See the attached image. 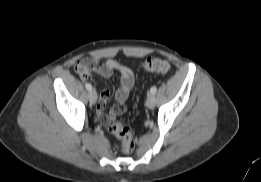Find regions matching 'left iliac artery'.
Returning a JSON list of instances; mask_svg holds the SVG:
<instances>
[{"label":"left iliac artery","mask_w":261,"mask_h":182,"mask_svg":"<svg viewBox=\"0 0 261 182\" xmlns=\"http://www.w3.org/2000/svg\"><path fill=\"white\" fill-rule=\"evenodd\" d=\"M156 91H157L156 86H153V87L150 89L151 94H155Z\"/></svg>","instance_id":"left-iliac-artery-1"}]
</instances>
